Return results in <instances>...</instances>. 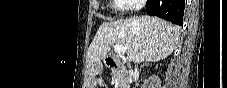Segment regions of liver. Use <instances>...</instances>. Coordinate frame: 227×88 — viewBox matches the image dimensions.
Here are the masks:
<instances>
[{
  "label": "liver",
  "instance_id": "obj_1",
  "mask_svg": "<svg viewBox=\"0 0 227 88\" xmlns=\"http://www.w3.org/2000/svg\"><path fill=\"white\" fill-rule=\"evenodd\" d=\"M179 28L158 17L142 16L102 23L91 42L87 60L100 64L111 46L126 49L129 62H157L167 58L176 48Z\"/></svg>",
  "mask_w": 227,
  "mask_h": 88
}]
</instances>
